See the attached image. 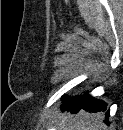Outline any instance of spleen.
I'll return each mask as SVG.
<instances>
[{
	"label": "spleen",
	"instance_id": "spleen-1",
	"mask_svg": "<svg viewBox=\"0 0 123 130\" xmlns=\"http://www.w3.org/2000/svg\"><path fill=\"white\" fill-rule=\"evenodd\" d=\"M65 130H102L100 123L91 121L85 113H81L78 120L67 125Z\"/></svg>",
	"mask_w": 123,
	"mask_h": 130
}]
</instances>
